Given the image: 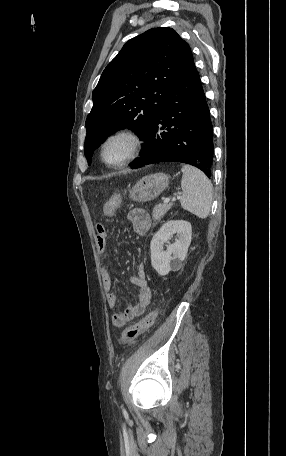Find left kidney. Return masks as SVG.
<instances>
[{"label": "left kidney", "instance_id": "5707ae66", "mask_svg": "<svg viewBox=\"0 0 286 456\" xmlns=\"http://www.w3.org/2000/svg\"><path fill=\"white\" fill-rule=\"evenodd\" d=\"M174 234L178 239L163 250L164 243L168 242ZM192 227L184 220H173L165 223L153 236L150 244L152 267L161 276L167 275L171 270L181 268L182 261L187 255L191 243Z\"/></svg>", "mask_w": 286, "mask_h": 456}]
</instances>
